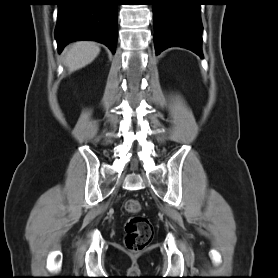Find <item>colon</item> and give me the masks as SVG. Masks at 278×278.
<instances>
[{
	"instance_id": "colon-1",
	"label": "colon",
	"mask_w": 278,
	"mask_h": 278,
	"mask_svg": "<svg viewBox=\"0 0 278 278\" xmlns=\"http://www.w3.org/2000/svg\"><path fill=\"white\" fill-rule=\"evenodd\" d=\"M141 202L138 199H129L125 203L126 211L131 214L125 223V244L131 251L144 249L152 240L153 227L150 221L141 215Z\"/></svg>"
}]
</instances>
